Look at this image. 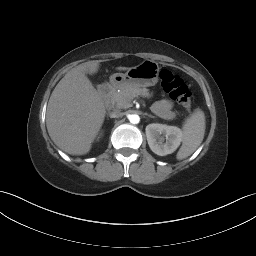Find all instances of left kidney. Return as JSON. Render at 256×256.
<instances>
[{
	"mask_svg": "<svg viewBox=\"0 0 256 256\" xmlns=\"http://www.w3.org/2000/svg\"><path fill=\"white\" fill-rule=\"evenodd\" d=\"M146 137L150 149L157 155L165 156L179 147L183 133L176 126L152 123L146 126Z\"/></svg>",
	"mask_w": 256,
	"mask_h": 256,
	"instance_id": "1",
	"label": "left kidney"
}]
</instances>
